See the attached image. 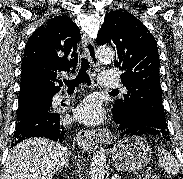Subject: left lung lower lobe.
<instances>
[{
    "label": "left lung lower lobe",
    "instance_id": "obj_1",
    "mask_svg": "<svg viewBox=\"0 0 183 179\" xmlns=\"http://www.w3.org/2000/svg\"><path fill=\"white\" fill-rule=\"evenodd\" d=\"M113 113H114L113 119L115 123L118 125L121 138L145 134L161 137L164 138L166 141L171 142L169 132L167 129L156 128L152 125H149L139 119H136L128 115H122L115 112Z\"/></svg>",
    "mask_w": 183,
    "mask_h": 179
}]
</instances>
